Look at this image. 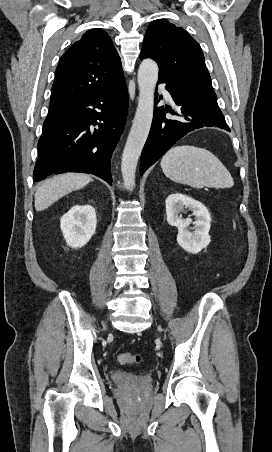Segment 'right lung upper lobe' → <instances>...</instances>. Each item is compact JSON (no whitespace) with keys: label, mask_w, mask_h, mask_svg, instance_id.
Here are the masks:
<instances>
[{"label":"right lung upper lobe","mask_w":272,"mask_h":452,"mask_svg":"<svg viewBox=\"0 0 272 452\" xmlns=\"http://www.w3.org/2000/svg\"><path fill=\"white\" fill-rule=\"evenodd\" d=\"M123 79L120 57L108 34L89 30L63 54L56 68L49 111L72 107Z\"/></svg>","instance_id":"right-lung-upper-lobe-1"}]
</instances>
